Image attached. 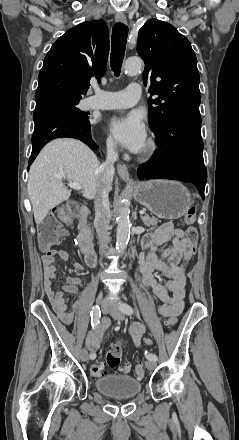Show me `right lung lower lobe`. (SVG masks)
I'll return each mask as SVG.
<instances>
[{
    "label": "right lung lower lobe",
    "mask_w": 239,
    "mask_h": 440,
    "mask_svg": "<svg viewBox=\"0 0 239 440\" xmlns=\"http://www.w3.org/2000/svg\"><path fill=\"white\" fill-rule=\"evenodd\" d=\"M33 119L35 129L32 135L33 148L28 168L42 147L56 138H76L83 141L92 150L98 148V145L91 138L89 119L80 120L62 106L54 104L38 106L34 111Z\"/></svg>",
    "instance_id": "98d812e1"
}]
</instances>
